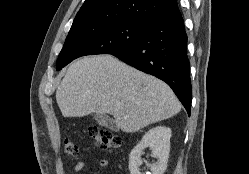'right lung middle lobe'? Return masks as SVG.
Segmentation results:
<instances>
[{"instance_id": "right-lung-middle-lobe-1", "label": "right lung middle lobe", "mask_w": 249, "mask_h": 174, "mask_svg": "<svg viewBox=\"0 0 249 174\" xmlns=\"http://www.w3.org/2000/svg\"><path fill=\"white\" fill-rule=\"evenodd\" d=\"M146 22L121 20L69 32L59 54L56 70H61L81 56L121 52L143 34Z\"/></svg>"}]
</instances>
